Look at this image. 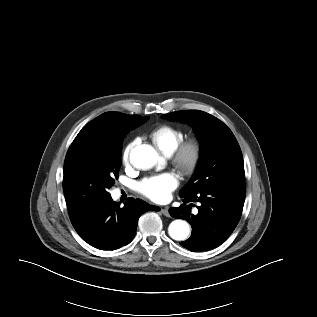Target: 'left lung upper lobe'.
Masks as SVG:
<instances>
[{
  "instance_id": "obj_1",
  "label": "left lung upper lobe",
  "mask_w": 317,
  "mask_h": 317,
  "mask_svg": "<svg viewBox=\"0 0 317 317\" xmlns=\"http://www.w3.org/2000/svg\"><path fill=\"white\" fill-rule=\"evenodd\" d=\"M162 117L193 126L201 143L199 165L191 181L180 190L181 197L197 195L219 184H245L241 149L231 130L222 121L199 110L173 112Z\"/></svg>"
}]
</instances>
